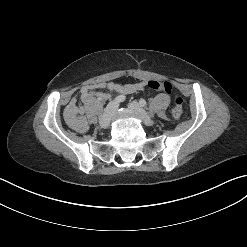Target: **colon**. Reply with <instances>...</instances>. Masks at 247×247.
<instances>
[{
    "label": "colon",
    "mask_w": 247,
    "mask_h": 247,
    "mask_svg": "<svg viewBox=\"0 0 247 247\" xmlns=\"http://www.w3.org/2000/svg\"><path fill=\"white\" fill-rule=\"evenodd\" d=\"M152 90L172 94L174 97L173 118L178 120L182 113L183 99L174 91L173 85L167 81L151 80L147 83Z\"/></svg>",
    "instance_id": "colon-1"
}]
</instances>
